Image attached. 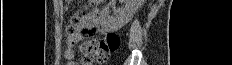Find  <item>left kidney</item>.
I'll list each match as a JSON object with an SVG mask.
<instances>
[{"label":"left kidney","instance_id":"left-kidney-1","mask_svg":"<svg viewBox=\"0 0 232 65\" xmlns=\"http://www.w3.org/2000/svg\"><path fill=\"white\" fill-rule=\"evenodd\" d=\"M140 0H126L125 5L116 16H111L109 7L106 6L101 11V26L108 31H116L122 28L137 12Z\"/></svg>","mask_w":232,"mask_h":65}]
</instances>
